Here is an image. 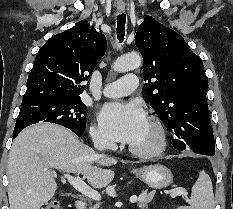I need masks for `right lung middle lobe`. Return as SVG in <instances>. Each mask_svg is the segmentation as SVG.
Wrapping results in <instances>:
<instances>
[{
  "instance_id": "obj_1",
  "label": "right lung middle lobe",
  "mask_w": 233,
  "mask_h": 209,
  "mask_svg": "<svg viewBox=\"0 0 233 209\" xmlns=\"http://www.w3.org/2000/svg\"><path fill=\"white\" fill-rule=\"evenodd\" d=\"M87 107L81 99H46L22 103L14 130L38 122L62 125L73 132L83 133L86 127Z\"/></svg>"
}]
</instances>
